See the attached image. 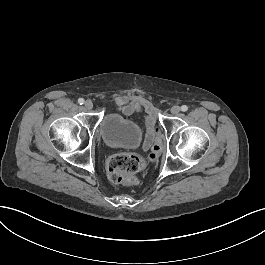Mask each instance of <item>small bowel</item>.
Returning <instances> with one entry per match:
<instances>
[{"label":"small bowel","mask_w":265,"mask_h":265,"mask_svg":"<svg viewBox=\"0 0 265 265\" xmlns=\"http://www.w3.org/2000/svg\"><path fill=\"white\" fill-rule=\"evenodd\" d=\"M130 99L127 95H117L115 102L123 112L135 109L141 114V117L145 120L146 127V135L142 147L144 150H148L156 134L155 121L158 119L157 109L151 107L148 103L142 105V100L139 97H134L131 101Z\"/></svg>","instance_id":"1"}]
</instances>
